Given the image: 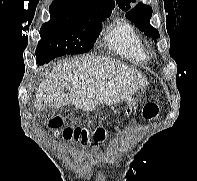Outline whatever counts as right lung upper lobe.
I'll return each instance as SVG.
<instances>
[{"mask_svg":"<svg viewBox=\"0 0 197 181\" xmlns=\"http://www.w3.org/2000/svg\"><path fill=\"white\" fill-rule=\"evenodd\" d=\"M114 6L113 0H56L50 5L49 12L53 16L79 18L111 14Z\"/></svg>","mask_w":197,"mask_h":181,"instance_id":"1","label":"right lung upper lobe"}]
</instances>
